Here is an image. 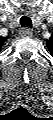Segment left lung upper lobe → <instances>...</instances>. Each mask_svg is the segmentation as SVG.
<instances>
[{
  "mask_svg": "<svg viewBox=\"0 0 53 120\" xmlns=\"http://www.w3.org/2000/svg\"><path fill=\"white\" fill-rule=\"evenodd\" d=\"M47 45H48L49 49L52 48L53 44H52L51 40L47 41Z\"/></svg>",
  "mask_w": 53,
  "mask_h": 120,
  "instance_id": "obj_1",
  "label": "left lung upper lobe"
}]
</instances>
